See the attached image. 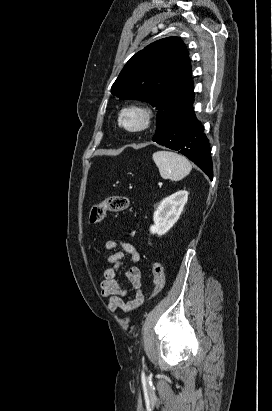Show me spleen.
<instances>
[{"label": "spleen", "mask_w": 272, "mask_h": 411, "mask_svg": "<svg viewBox=\"0 0 272 411\" xmlns=\"http://www.w3.org/2000/svg\"><path fill=\"white\" fill-rule=\"evenodd\" d=\"M152 159L164 179L179 181L192 170V165L187 158L175 152L157 151L153 153Z\"/></svg>", "instance_id": "1"}]
</instances>
